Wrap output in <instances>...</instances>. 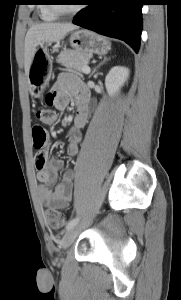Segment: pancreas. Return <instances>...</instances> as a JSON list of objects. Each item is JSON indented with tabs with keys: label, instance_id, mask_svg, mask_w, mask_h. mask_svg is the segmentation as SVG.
Instances as JSON below:
<instances>
[{
	"label": "pancreas",
	"instance_id": "obj_1",
	"mask_svg": "<svg viewBox=\"0 0 181 300\" xmlns=\"http://www.w3.org/2000/svg\"><path fill=\"white\" fill-rule=\"evenodd\" d=\"M90 56L77 50H65L58 55L57 61L68 69L83 72L82 68L88 66Z\"/></svg>",
	"mask_w": 181,
	"mask_h": 300
}]
</instances>
